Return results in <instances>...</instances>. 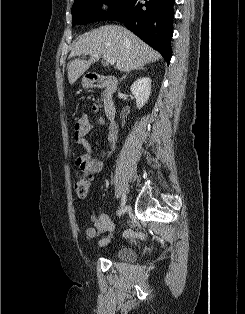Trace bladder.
<instances>
[{
	"instance_id": "1",
	"label": "bladder",
	"mask_w": 245,
	"mask_h": 314,
	"mask_svg": "<svg viewBox=\"0 0 245 314\" xmlns=\"http://www.w3.org/2000/svg\"><path fill=\"white\" fill-rule=\"evenodd\" d=\"M114 258L130 261L133 259V251L128 247L120 246L114 251Z\"/></svg>"
}]
</instances>
